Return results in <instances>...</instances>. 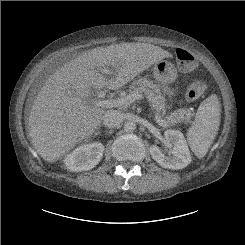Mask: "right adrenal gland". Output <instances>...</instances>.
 <instances>
[{"mask_svg": "<svg viewBox=\"0 0 245 245\" xmlns=\"http://www.w3.org/2000/svg\"><path fill=\"white\" fill-rule=\"evenodd\" d=\"M98 134H101V131H98V132L95 133V135H98Z\"/></svg>", "mask_w": 245, "mask_h": 245, "instance_id": "obj_1", "label": "right adrenal gland"}]
</instances>
